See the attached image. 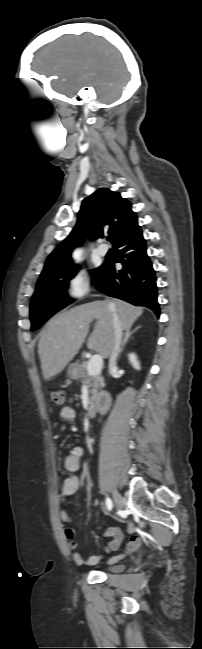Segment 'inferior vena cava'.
I'll list each match as a JSON object with an SVG mask.
<instances>
[{
    "label": "inferior vena cava",
    "instance_id": "obj_1",
    "mask_svg": "<svg viewBox=\"0 0 202 649\" xmlns=\"http://www.w3.org/2000/svg\"><path fill=\"white\" fill-rule=\"evenodd\" d=\"M112 322H113V329H114V341H113V346L111 349V353L109 356V370L112 371L115 369L116 366V359L118 357L121 344H122V327L119 322V319L115 313L112 314Z\"/></svg>",
    "mask_w": 202,
    "mask_h": 649
}]
</instances>
